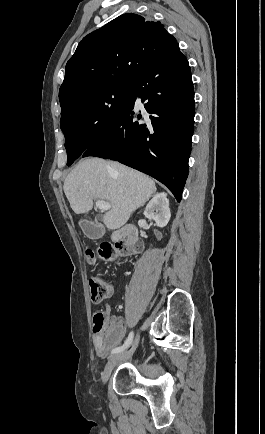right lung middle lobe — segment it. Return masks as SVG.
<instances>
[{"mask_svg": "<svg viewBox=\"0 0 265 434\" xmlns=\"http://www.w3.org/2000/svg\"><path fill=\"white\" fill-rule=\"evenodd\" d=\"M134 80L109 77L59 96L68 166L121 119L131 103Z\"/></svg>", "mask_w": 265, "mask_h": 434, "instance_id": "dd1d6c3e", "label": "right lung middle lobe"}]
</instances>
